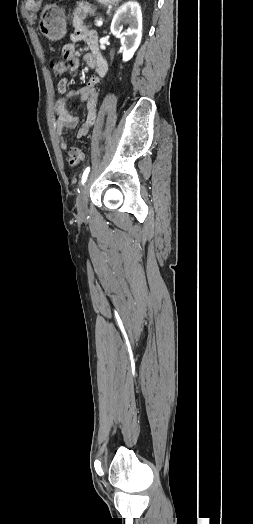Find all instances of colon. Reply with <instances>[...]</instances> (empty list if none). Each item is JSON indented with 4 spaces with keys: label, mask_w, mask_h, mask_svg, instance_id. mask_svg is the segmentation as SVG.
Listing matches in <instances>:
<instances>
[{
    "label": "colon",
    "mask_w": 253,
    "mask_h": 524,
    "mask_svg": "<svg viewBox=\"0 0 253 524\" xmlns=\"http://www.w3.org/2000/svg\"><path fill=\"white\" fill-rule=\"evenodd\" d=\"M52 75L54 78H61L65 74L66 63L61 58H53L50 61ZM84 159L83 151L78 147H73L68 152V164L70 166L79 165Z\"/></svg>",
    "instance_id": "colon-1"
}]
</instances>
